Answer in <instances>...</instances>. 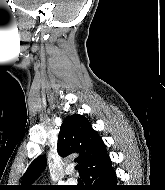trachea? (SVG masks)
I'll return each mask as SVG.
<instances>
[{"label": "trachea", "instance_id": "obj_1", "mask_svg": "<svg viewBox=\"0 0 165 190\" xmlns=\"http://www.w3.org/2000/svg\"><path fill=\"white\" fill-rule=\"evenodd\" d=\"M75 168H76V170H78V165H76V167H75Z\"/></svg>", "mask_w": 165, "mask_h": 190}]
</instances>
